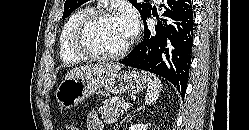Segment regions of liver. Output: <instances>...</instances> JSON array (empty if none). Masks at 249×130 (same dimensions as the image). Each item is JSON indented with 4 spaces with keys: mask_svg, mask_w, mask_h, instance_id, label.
Wrapping results in <instances>:
<instances>
[{
    "mask_svg": "<svg viewBox=\"0 0 249 130\" xmlns=\"http://www.w3.org/2000/svg\"><path fill=\"white\" fill-rule=\"evenodd\" d=\"M121 68L122 66L120 65L90 64L86 66L76 67L70 70L67 73L65 79L111 74L113 72L119 71Z\"/></svg>",
    "mask_w": 249,
    "mask_h": 130,
    "instance_id": "liver-1",
    "label": "liver"
}]
</instances>
